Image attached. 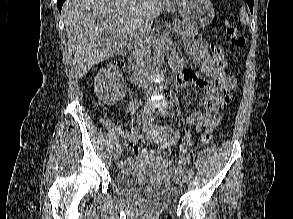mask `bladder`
Segmentation results:
<instances>
[{"instance_id":"obj_1","label":"bladder","mask_w":293,"mask_h":219,"mask_svg":"<svg viewBox=\"0 0 293 219\" xmlns=\"http://www.w3.org/2000/svg\"><path fill=\"white\" fill-rule=\"evenodd\" d=\"M115 187L141 206L166 209L176 204L178 187L164 176H145L134 168H123L113 179Z\"/></svg>"}]
</instances>
